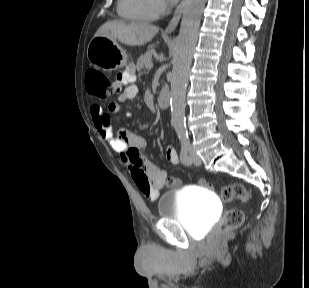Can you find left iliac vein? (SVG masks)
Segmentation results:
<instances>
[{"instance_id": "4c4485c4", "label": "left iliac vein", "mask_w": 309, "mask_h": 288, "mask_svg": "<svg viewBox=\"0 0 309 288\" xmlns=\"http://www.w3.org/2000/svg\"><path fill=\"white\" fill-rule=\"evenodd\" d=\"M190 161L195 165L201 164V158L196 154L193 148H190Z\"/></svg>"}]
</instances>
